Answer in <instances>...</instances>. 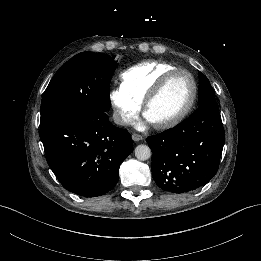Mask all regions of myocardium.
<instances>
[{
	"label": "myocardium",
	"instance_id": "myocardium-1",
	"mask_svg": "<svg viewBox=\"0 0 261 261\" xmlns=\"http://www.w3.org/2000/svg\"><path fill=\"white\" fill-rule=\"evenodd\" d=\"M177 73H184L188 76V78L191 81L192 84V95L185 106V108L176 116L165 120L161 122H151L152 125L156 129H169L171 127H174L178 125L180 122H182L187 115L191 112L197 98V93H198V87L195 78L193 75L186 69L182 68H174L168 72H166L160 79L159 81L152 87L148 95L143 101V114L147 117V111L151 104L160 96V94L163 92V90L166 88L172 77L177 74Z\"/></svg>",
	"mask_w": 261,
	"mask_h": 261
}]
</instances>
